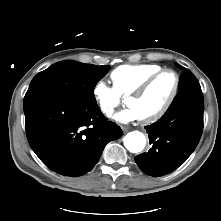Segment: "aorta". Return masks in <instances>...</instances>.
<instances>
[{
	"label": "aorta",
	"mask_w": 221,
	"mask_h": 221,
	"mask_svg": "<svg viewBox=\"0 0 221 221\" xmlns=\"http://www.w3.org/2000/svg\"><path fill=\"white\" fill-rule=\"evenodd\" d=\"M146 138L140 131L129 132L124 138L126 149L132 153L140 152L144 149Z\"/></svg>",
	"instance_id": "obj_1"
}]
</instances>
